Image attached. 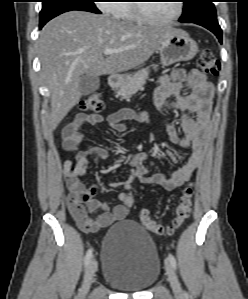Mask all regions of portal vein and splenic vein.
<instances>
[{"instance_id": "portal-vein-and-splenic-vein-1", "label": "portal vein and splenic vein", "mask_w": 248, "mask_h": 299, "mask_svg": "<svg viewBox=\"0 0 248 299\" xmlns=\"http://www.w3.org/2000/svg\"><path fill=\"white\" fill-rule=\"evenodd\" d=\"M123 49H111V48H107L104 50V55H111L113 53H119L122 52Z\"/></svg>"}]
</instances>
